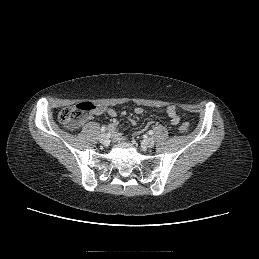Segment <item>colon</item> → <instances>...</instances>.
Returning <instances> with one entry per match:
<instances>
[{
	"mask_svg": "<svg viewBox=\"0 0 259 259\" xmlns=\"http://www.w3.org/2000/svg\"><path fill=\"white\" fill-rule=\"evenodd\" d=\"M98 110L97 106L92 102H81L62 109L58 114L59 122L70 130L78 128L83 121ZM182 133L190 131V124L183 122L180 125Z\"/></svg>",
	"mask_w": 259,
	"mask_h": 259,
	"instance_id": "colon-1",
	"label": "colon"
}]
</instances>
